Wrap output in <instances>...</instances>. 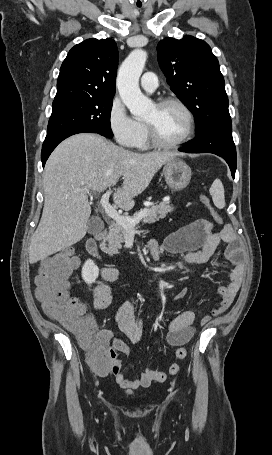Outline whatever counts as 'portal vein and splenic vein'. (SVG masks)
I'll list each match as a JSON object with an SVG mask.
<instances>
[{
    "label": "portal vein and splenic vein",
    "mask_w": 272,
    "mask_h": 455,
    "mask_svg": "<svg viewBox=\"0 0 272 455\" xmlns=\"http://www.w3.org/2000/svg\"><path fill=\"white\" fill-rule=\"evenodd\" d=\"M110 195L111 189L102 195L100 199V205L105 210L106 214L122 227L128 230H132L134 229L135 225L138 224L140 220L146 216V211L141 212L136 218L125 217L118 214L117 210L109 203Z\"/></svg>",
    "instance_id": "obj_1"
}]
</instances>
